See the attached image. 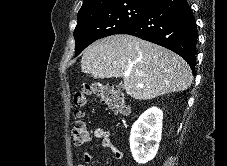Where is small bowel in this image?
<instances>
[{"label":"small bowel","instance_id":"small-bowel-1","mask_svg":"<svg viewBox=\"0 0 227 166\" xmlns=\"http://www.w3.org/2000/svg\"><path fill=\"white\" fill-rule=\"evenodd\" d=\"M94 135L101 142V146L105 149H109L116 160H122L124 158V152L117 148L112 141V134L103 128H96ZM78 166H93V160L90 153L85 152L82 157V162Z\"/></svg>","mask_w":227,"mask_h":166}]
</instances>
